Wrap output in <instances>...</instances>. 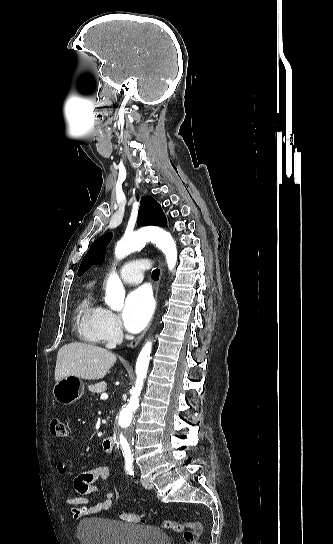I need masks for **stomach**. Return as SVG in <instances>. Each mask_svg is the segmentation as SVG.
Wrapping results in <instances>:
<instances>
[{
  "label": "stomach",
  "instance_id": "0dacf381",
  "mask_svg": "<svg viewBox=\"0 0 333 544\" xmlns=\"http://www.w3.org/2000/svg\"><path fill=\"white\" fill-rule=\"evenodd\" d=\"M84 394V383L76 376H67L57 381L53 388L55 400L62 405H70Z\"/></svg>",
  "mask_w": 333,
  "mask_h": 544
}]
</instances>
